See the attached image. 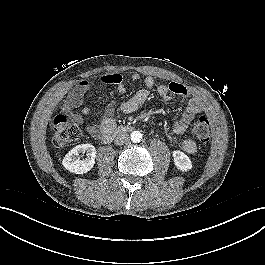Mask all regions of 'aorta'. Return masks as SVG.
<instances>
[{
	"mask_svg": "<svg viewBox=\"0 0 265 265\" xmlns=\"http://www.w3.org/2000/svg\"><path fill=\"white\" fill-rule=\"evenodd\" d=\"M131 141L134 143H138L142 140V133L139 131H133L130 135Z\"/></svg>",
	"mask_w": 265,
	"mask_h": 265,
	"instance_id": "1",
	"label": "aorta"
}]
</instances>
